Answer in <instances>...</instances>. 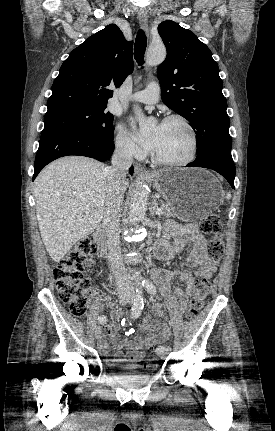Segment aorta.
<instances>
[{
  "label": "aorta",
  "mask_w": 275,
  "mask_h": 431,
  "mask_svg": "<svg viewBox=\"0 0 275 431\" xmlns=\"http://www.w3.org/2000/svg\"><path fill=\"white\" fill-rule=\"evenodd\" d=\"M166 58V49L163 45L151 46L148 49L146 56V63L150 66L158 65ZM135 114L138 116L139 125L141 129H147L152 125V122L146 120L141 115V110L138 106L134 107ZM148 204V188L144 182H138L134 189L130 210H129V222L132 225H136L145 216ZM135 275L139 278L138 272L134 271Z\"/></svg>",
  "instance_id": "1"
}]
</instances>
